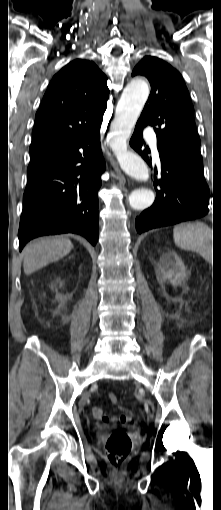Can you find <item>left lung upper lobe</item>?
<instances>
[{
	"instance_id": "5c2ea615",
	"label": "left lung upper lobe",
	"mask_w": 221,
	"mask_h": 510,
	"mask_svg": "<svg viewBox=\"0 0 221 510\" xmlns=\"http://www.w3.org/2000/svg\"><path fill=\"white\" fill-rule=\"evenodd\" d=\"M135 75L147 77L151 85L138 121L154 126L159 142L202 162L193 105L180 73L163 60L146 56L134 68Z\"/></svg>"
}]
</instances>
